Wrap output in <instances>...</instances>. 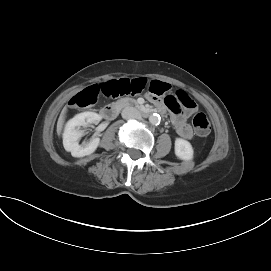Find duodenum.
<instances>
[{"instance_id":"duodenum-1","label":"duodenum","mask_w":271,"mask_h":271,"mask_svg":"<svg viewBox=\"0 0 271 271\" xmlns=\"http://www.w3.org/2000/svg\"><path fill=\"white\" fill-rule=\"evenodd\" d=\"M120 107H121V104H118V103L108 104L102 109L101 114L105 119L112 120L117 116ZM154 112L155 110H152V109H147V108L139 109V113L144 117L150 116Z\"/></svg>"}]
</instances>
